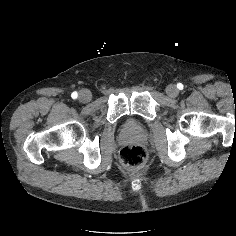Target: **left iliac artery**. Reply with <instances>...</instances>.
Wrapping results in <instances>:
<instances>
[{
    "instance_id": "left-iliac-artery-1",
    "label": "left iliac artery",
    "mask_w": 236,
    "mask_h": 236,
    "mask_svg": "<svg viewBox=\"0 0 236 236\" xmlns=\"http://www.w3.org/2000/svg\"><path fill=\"white\" fill-rule=\"evenodd\" d=\"M177 88H178L179 90H182V89H183V84L178 83V84H177Z\"/></svg>"
}]
</instances>
